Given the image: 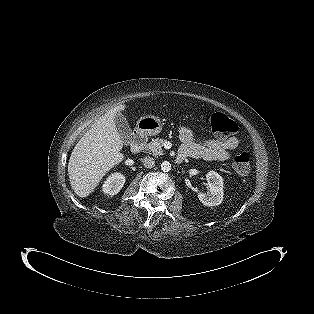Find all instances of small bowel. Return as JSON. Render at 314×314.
Segmentation results:
<instances>
[{
	"mask_svg": "<svg viewBox=\"0 0 314 314\" xmlns=\"http://www.w3.org/2000/svg\"><path fill=\"white\" fill-rule=\"evenodd\" d=\"M182 146L179 157L200 158L207 161H226L238 147L239 139L235 136L226 139L196 140L193 131L186 127L178 128Z\"/></svg>",
	"mask_w": 314,
	"mask_h": 314,
	"instance_id": "small-bowel-1",
	"label": "small bowel"
}]
</instances>
